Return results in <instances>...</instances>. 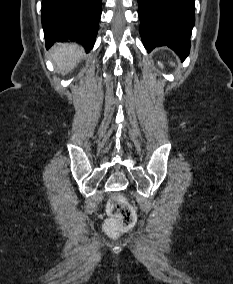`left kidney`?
<instances>
[{
  "label": "left kidney",
  "instance_id": "5707ae66",
  "mask_svg": "<svg viewBox=\"0 0 233 284\" xmlns=\"http://www.w3.org/2000/svg\"><path fill=\"white\" fill-rule=\"evenodd\" d=\"M158 64L162 67V64L158 62Z\"/></svg>",
  "mask_w": 233,
  "mask_h": 284
}]
</instances>
